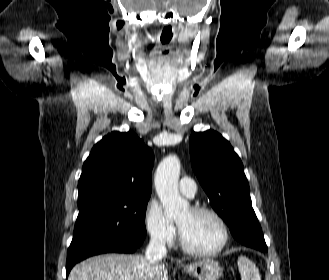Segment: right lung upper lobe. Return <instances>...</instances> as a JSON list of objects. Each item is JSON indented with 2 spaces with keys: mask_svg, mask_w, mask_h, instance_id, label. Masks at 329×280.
<instances>
[{
  "mask_svg": "<svg viewBox=\"0 0 329 280\" xmlns=\"http://www.w3.org/2000/svg\"><path fill=\"white\" fill-rule=\"evenodd\" d=\"M153 152L134 132L114 131L92 149L78 182V200L151 194Z\"/></svg>",
  "mask_w": 329,
  "mask_h": 280,
  "instance_id": "right-lung-upper-lobe-1",
  "label": "right lung upper lobe"
}]
</instances>
